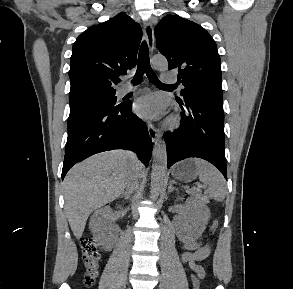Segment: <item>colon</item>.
I'll use <instances>...</instances> for the list:
<instances>
[{"instance_id":"1","label":"colon","mask_w":293,"mask_h":289,"mask_svg":"<svg viewBox=\"0 0 293 289\" xmlns=\"http://www.w3.org/2000/svg\"><path fill=\"white\" fill-rule=\"evenodd\" d=\"M218 221H214L211 226V231L214 232L218 228ZM82 249V258L85 266L84 283L87 287H90L95 282L98 275L99 262L101 254L98 246L90 237H84L80 241ZM195 276L193 278V287L197 289L200 282L204 278V270L202 267H197L195 270Z\"/></svg>"}]
</instances>
